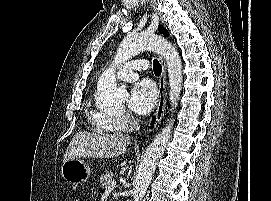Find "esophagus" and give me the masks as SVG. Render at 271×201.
<instances>
[{"mask_svg":"<svg viewBox=\"0 0 271 201\" xmlns=\"http://www.w3.org/2000/svg\"><path fill=\"white\" fill-rule=\"evenodd\" d=\"M160 62L162 65V72L159 79V92H158V104L156 109V121L158 123L161 122L165 109H166V71H167V65L166 61L163 56H160Z\"/></svg>","mask_w":271,"mask_h":201,"instance_id":"34e87169","label":"esophagus"}]
</instances>
